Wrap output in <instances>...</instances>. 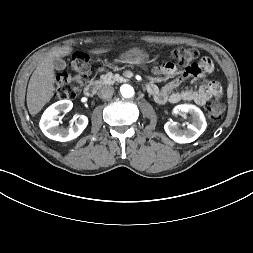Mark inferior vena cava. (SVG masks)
I'll return each instance as SVG.
<instances>
[{
	"label": "inferior vena cava",
	"instance_id": "602c4592",
	"mask_svg": "<svg viewBox=\"0 0 253 253\" xmlns=\"http://www.w3.org/2000/svg\"><path fill=\"white\" fill-rule=\"evenodd\" d=\"M113 94L114 88L112 86H103L98 92V96L102 99L110 98Z\"/></svg>",
	"mask_w": 253,
	"mask_h": 253
}]
</instances>
